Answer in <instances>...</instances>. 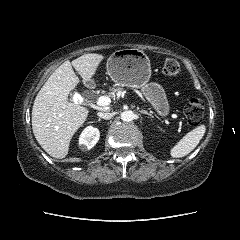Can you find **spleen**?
Wrapping results in <instances>:
<instances>
[{
    "label": "spleen",
    "mask_w": 240,
    "mask_h": 240,
    "mask_svg": "<svg viewBox=\"0 0 240 240\" xmlns=\"http://www.w3.org/2000/svg\"><path fill=\"white\" fill-rule=\"evenodd\" d=\"M206 131L205 125L197 126L188 132L180 141L176 143L170 150L173 158H182L188 155L199 144Z\"/></svg>",
    "instance_id": "1"
}]
</instances>
